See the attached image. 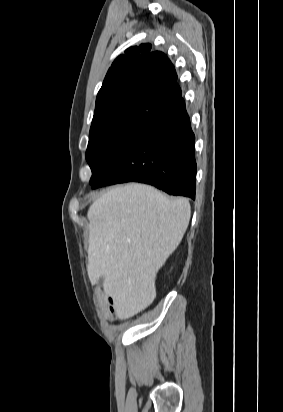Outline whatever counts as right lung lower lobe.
I'll list each match as a JSON object with an SVG mask.
<instances>
[{
	"label": "right lung lower lobe",
	"instance_id": "right-lung-lower-lobe-1",
	"mask_svg": "<svg viewBox=\"0 0 283 412\" xmlns=\"http://www.w3.org/2000/svg\"><path fill=\"white\" fill-rule=\"evenodd\" d=\"M169 77L165 73V79ZM195 136L182 96L175 99L92 188L142 182L195 199Z\"/></svg>",
	"mask_w": 283,
	"mask_h": 412
}]
</instances>
